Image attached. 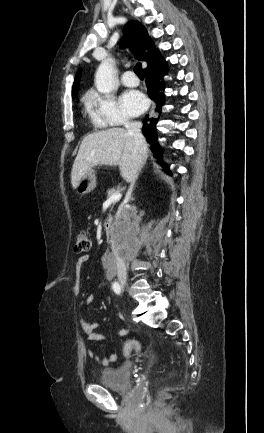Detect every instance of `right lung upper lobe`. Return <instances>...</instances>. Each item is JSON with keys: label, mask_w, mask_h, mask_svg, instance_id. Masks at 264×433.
I'll use <instances>...</instances> for the list:
<instances>
[{"label": "right lung upper lobe", "mask_w": 264, "mask_h": 433, "mask_svg": "<svg viewBox=\"0 0 264 433\" xmlns=\"http://www.w3.org/2000/svg\"><path fill=\"white\" fill-rule=\"evenodd\" d=\"M124 32L125 40L129 42L128 47H130V49L139 59L148 62V67L155 66L164 61L159 50L154 48V43L149 37L147 30L140 22L135 20L130 21L128 24H126ZM120 46L124 47L123 44ZM79 78L80 72H78L76 75V79ZM78 89L79 81L75 80L73 84L74 97L77 95Z\"/></svg>", "instance_id": "right-lung-upper-lobe-1"}]
</instances>
